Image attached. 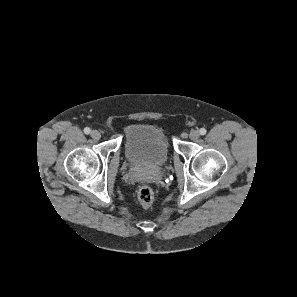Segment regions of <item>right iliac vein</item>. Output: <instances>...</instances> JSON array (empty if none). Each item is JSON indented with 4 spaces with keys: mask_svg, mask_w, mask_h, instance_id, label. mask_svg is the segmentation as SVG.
I'll use <instances>...</instances> for the list:
<instances>
[{
    "mask_svg": "<svg viewBox=\"0 0 297 297\" xmlns=\"http://www.w3.org/2000/svg\"><path fill=\"white\" fill-rule=\"evenodd\" d=\"M90 135L95 140H99L101 138V133L99 130H92Z\"/></svg>",
    "mask_w": 297,
    "mask_h": 297,
    "instance_id": "obj_1",
    "label": "right iliac vein"
}]
</instances>
